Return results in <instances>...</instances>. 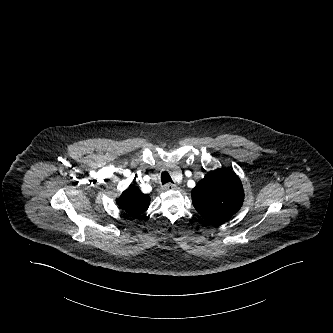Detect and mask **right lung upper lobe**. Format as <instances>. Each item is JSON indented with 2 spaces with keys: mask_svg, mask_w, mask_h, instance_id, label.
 <instances>
[{
  "mask_svg": "<svg viewBox=\"0 0 333 333\" xmlns=\"http://www.w3.org/2000/svg\"><path fill=\"white\" fill-rule=\"evenodd\" d=\"M117 203L130 217L137 218L150 205V196L143 194L138 187L131 184L117 199Z\"/></svg>",
  "mask_w": 333,
  "mask_h": 333,
  "instance_id": "1",
  "label": "right lung upper lobe"
}]
</instances>
